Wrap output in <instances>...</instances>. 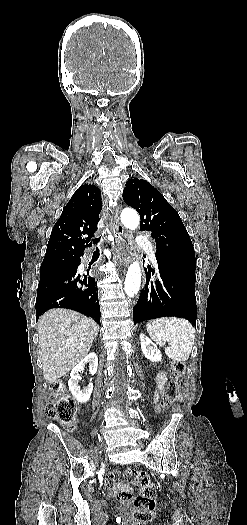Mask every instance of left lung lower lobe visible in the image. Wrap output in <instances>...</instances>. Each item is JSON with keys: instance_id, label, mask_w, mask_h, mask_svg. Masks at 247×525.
Returning <instances> with one entry per match:
<instances>
[{"instance_id": "0a47b994", "label": "left lung lower lobe", "mask_w": 247, "mask_h": 525, "mask_svg": "<svg viewBox=\"0 0 247 525\" xmlns=\"http://www.w3.org/2000/svg\"><path fill=\"white\" fill-rule=\"evenodd\" d=\"M159 280L149 283L151 272L146 269V287L134 306V323L165 316L190 320L196 327L195 272L158 262Z\"/></svg>"}]
</instances>
